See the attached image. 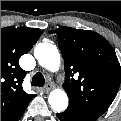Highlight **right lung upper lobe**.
<instances>
[{
  "label": "right lung upper lobe",
  "mask_w": 121,
  "mask_h": 121,
  "mask_svg": "<svg viewBox=\"0 0 121 121\" xmlns=\"http://www.w3.org/2000/svg\"><path fill=\"white\" fill-rule=\"evenodd\" d=\"M42 31L37 28H1V121H10L35 97L22 88L26 71L18 63Z\"/></svg>",
  "instance_id": "right-lung-upper-lobe-1"
}]
</instances>
